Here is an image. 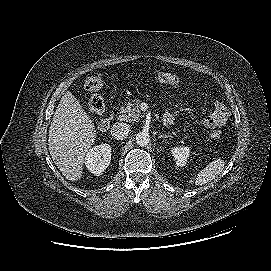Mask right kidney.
<instances>
[{
	"instance_id": "right-kidney-1",
	"label": "right kidney",
	"mask_w": 271,
	"mask_h": 271,
	"mask_svg": "<svg viewBox=\"0 0 271 271\" xmlns=\"http://www.w3.org/2000/svg\"><path fill=\"white\" fill-rule=\"evenodd\" d=\"M111 161V146L101 144L91 148L85 156V165L94 175L100 176Z\"/></svg>"
}]
</instances>
